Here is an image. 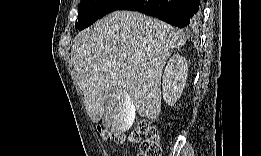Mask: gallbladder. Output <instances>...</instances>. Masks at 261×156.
Here are the masks:
<instances>
[{"mask_svg": "<svg viewBox=\"0 0 261 156\" xmlns=\"http://www.w3.org/2000/svg\"><path fill=\"white\" fill-rule=\"evenodd\" d=\"M122 89V88H119ZM126 90H113L108 94L107 100L103 103V125L114 132H121L132 127L136 109L134 102L129 100Z\"/></svg>", "mask_w": 261, "mask_h": 156, "instance_id": "1", "label": "gallbladder"}]
</instances>
